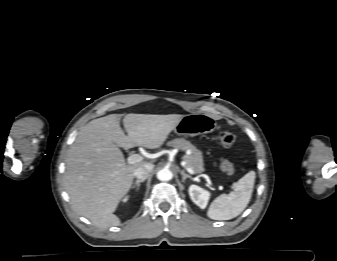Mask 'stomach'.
<instances>
[{"mask_svg": "<svg viewBox=\"0 0 337 261\" xmlns=\"http://www.w3.org/2000/svg\"><path fill=\"white\" fill-rule=\"evenodd\" d=\"M216 128V122L208 114L193 113L184 115L174 128L178 135L194 137L211 133Z\"/></svg>", "mask_w": 337, "mask_h": 261, "instance_id": "obj_1", "label": "stomach"}]
</instances>
